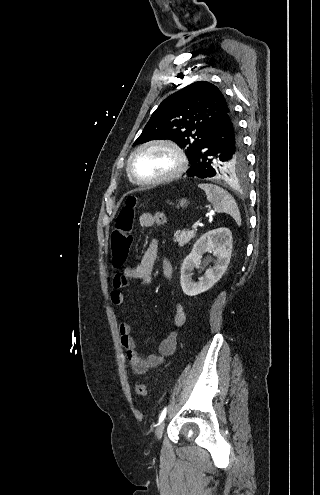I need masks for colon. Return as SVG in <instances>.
Instances as JSON below:
<instances>
[{
    "label": "colon",
    "instance_id": "colon-1",
    "mask_svg": "<svg viewBox=\"0 0 320 495\" xmlns=\"http://www.w3.org/2000/svg\"><path fill=\"white\" fill-rule=\"evenodd\" d=\"M136 205L137 199L135 197L126 199L125 205L117 216L115 228L111 233V257L115 267L123 266L128 260L133 245L131 229ZM135 390L139 396L147 394V386L144 383L137 384Z\"/></svg>",
    "mask_w": 320,
    "mask_h": 495
}]
</instances>
